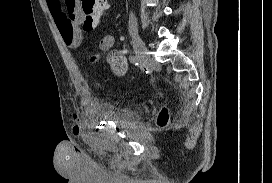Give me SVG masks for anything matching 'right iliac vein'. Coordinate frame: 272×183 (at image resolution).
<instances>
[{
  "mask_svg": "<svg viewBox=\"0 0 272 183\" xmlns=\"http://www.w3.org/2000/svg\"><path fill=\"white\" fill-rule=\"evenodd\" d=\"M132 45L137 55L141 67H146L149 62V56L140 36L137 33L132 34Z\"/></svg>",
  "mask_w": 272,
  "mask_h": 183,
  "instance_id": "right-iliac-vein-1",
  "label": "right iliac vein"
}]
</instances>
